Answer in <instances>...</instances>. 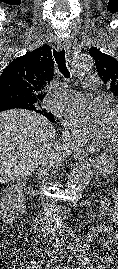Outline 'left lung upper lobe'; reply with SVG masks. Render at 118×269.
I'll list each match as a JSON object with an SVG mask.
<instances>
[{
  "instance_id": "1",
  "label": "left lung upper lobe",
  "mask_w": 118,
  "mask_h": 269,
  "mask_svg": "<svg viewBox=\"0 0 118 269\" xmlns=\"http://www.w3.org/2000/svg\"><path fill=\"white\" fill-rule=\"evenodd\" d=\"M89 53L95 60L100 78L109 86L110 91L118 96V61L96 47H91Z\"/></svg>"
}]
</instances>
